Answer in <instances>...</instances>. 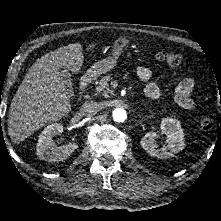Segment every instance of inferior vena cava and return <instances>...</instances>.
I'll use <instances>...</instances> for the list:
<instances>
[{"label":"inferior vena cava","mask_w":221,"mask_h":221,"mask_svg":"<svg viewBox=\"0 0 221 221\" xmlns=\"http://www.w3.org/2000/svg\"><path fill=\"white\" fill-rule=\"evenodd\" d=\"M100 110V105L95 101H87L81 106V113L83 115H91Z\"/></svg>","instance_id":"inferior-vena-cava-1"}]
</instances>
